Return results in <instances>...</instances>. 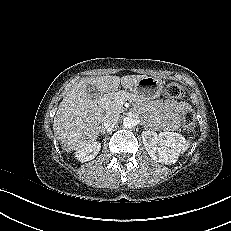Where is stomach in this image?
Instances as JSON below:
<instances>
[{"label":"stomach","mask_w":231,"mask_h":231,"mask_svg":"<svg viewBox=\"0 0 231 231\" xmlns=\"http://www.w3.org/2000/svg\"><path fill=\"white\" fill-rule=\"evenodd\" d=\"M130 91L141 100L156 99L163 92V82L156 77L146 76L130 87Z\"/></svg>","instance_id":"obj_1"}]
</instances>
